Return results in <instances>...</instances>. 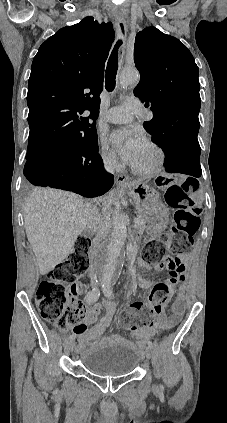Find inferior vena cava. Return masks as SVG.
I'll return each instance as SVG.
<instances>
[{"label":"inferior vena cava","mask_w":227,"mask_h":423,"mask_svg":"<svg viewBox=\"0 0 227 423\" xmlns=\"http://www.w3.org/2000/svg\"><path fill=\"white\" fill-rule=\"evenodd\" d=\"M117 164V158L115 154H107L106 158H104V168L107 170V172H113L115 166ZM86 213H87V223L88 227H91L92 231H94V243H99L101 241L103 235H104V225L103 223H98L97 219H101L100 213L98 210H96L95 206H91V204H86ZM96 249H93L92 253L94 255ZM89 275L90 279L93 283V281H96V273L91 267L89 269Z\"/></svg>","instance_id":"inferior-vena-cava-1"}]
</instances>
